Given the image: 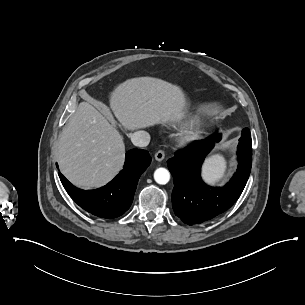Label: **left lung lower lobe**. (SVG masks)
I'll return each mask as SVG.
<instances>
[{"label":"left lung lower lobe","mask_w":305,"mask_h":305,"mask_svg":"<svg viewBox=\"0 0 305 305\" xmlns=\"http://www.w3.org/2000/svg\"><path fill=\"white\" fill-rule=\"evenodd\" d=\"M221 140L216 133L192 147L181 150L167 161L173 175L172 206L175 215L188 225L201 224L228 210L240 197L252 166V139L244 128L237 147L238 169L224 187L206 185L200 176L206 155Z\"/></svg>","instance_id":"obj_1"}]
</instances>
